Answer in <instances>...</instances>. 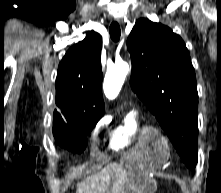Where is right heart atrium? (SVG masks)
I'll use <instances>...</instances> for the list:
<instances>
[{
	"label": "right heart atrium",
	"instance_id": "d8ad5b80",
	"mask_svg": "<svg viewBox=\"0 0 221 193\" xmlns=\"http://www.w3.org/2000/svg\"><path fill=\"white\" fill-rule=\"evenodd\" d=\"M109 120L107 117H103L95 126L93 130V135L96 136L106 125L108 124Z\"/></svg>",
	"mask_w": 221,
	"mask_h": 193
}]
</instances>
